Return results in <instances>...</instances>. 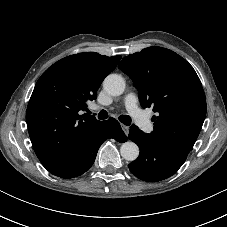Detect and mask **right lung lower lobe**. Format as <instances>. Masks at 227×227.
I'll use <instances>...</instances> for the list:
<instances>
[{
	"label": "right lung lower lobe",
	"mask_w": 227,
	"mask_h": 227,
	"mask_svg": "<svg viewBox=\"0 0 227 227\" xmlns=\"http://www.w3.org/2000/svg\"><path fill=\"white\" fill-rule=\"evenodd\" d=\"M118 133L125 135L117 120L109 118L106 121H102L98 128L65 160L48 171L55 176L65 179L82 175L94 163L101 144L107 138H115L114 134Z\"/></svg>",
	"instance_id": "obj_1"
}]
</instances>
